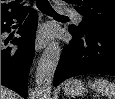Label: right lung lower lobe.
Listing matches in <instances>:
<instances>
[{"instance_id": "98d812e1", "label": "right lung lower lobe", "mask_w": 115, "mask_h": 99, "mask_svg": "<svg viewBox=\"0 0 115 99\" xmlns=\"http://www.w3.org/2000/svg\"><path fill=\"white\" fill-rule=\"evenodd\" d=\"M24 23L20 26L11 43L18 45L17 49L6 47L8 39L1 38V85H4L27 99V79L34 57V40L37 26V15L30 10ZM27 10L18 15L1 19V34L10 32L9 25L13 24L12 19H20L26 16Z\"/></svg>"}]
</instances>
